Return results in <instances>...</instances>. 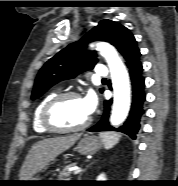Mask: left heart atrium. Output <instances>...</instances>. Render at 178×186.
Instances as JSON below:
<instances>
[{"label":"left heart atrium","instance_id":"39dd6f15","mask_svg":"<svg viewBox=\"0 0 178 186\" xmlns=\"http://www.w3.org/2000/svg\"><path fill=\"white\" fill-rule=\"evenodd\" d=\"M82 100L88 114L91 115L97 107L96 95L93 92H89Z\"/></svg>","mask_w":178,"mask_h":186}]
</instances>
